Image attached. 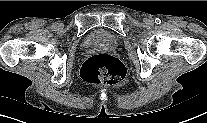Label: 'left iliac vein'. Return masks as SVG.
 I'll list each match as a JSON object with an SVG mask.
<instances>
[{"label":"left iliac vein","mask_w":207,"mask_h":123,"mask_svg":"<svg viewBox=\"0 0 207 123\" xmlns=\"http://www.w3.org/2000/svg\"><path fill=\"white\" fill-rule=\"evenodd\" d=\"M145 22H146L147 24H152V23H153V21H152L151 19H146Z\"/></svg>","instance_id":"4c4485c4"}]
</instances>
